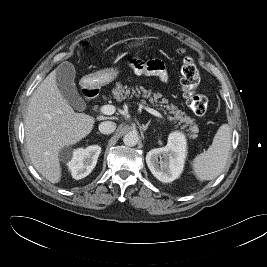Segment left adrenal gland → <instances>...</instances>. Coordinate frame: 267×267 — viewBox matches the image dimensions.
Segmentation results:
<instances>
[{"mask_svg": "<svg viewBox=\"0 0 267 267\" xmlns=\"http://www.w3.org/2000/svg\"><path fill=\"white\" fill-rule=\"evenodd\" d=\"M149 125H150V121H148V123L146 125H142V130L146 131L148 129Z\"/></svg>", "mask_w": 267, "mask_h": 267, "instance_id": "obj_1", "label": "left adrenal gland"}]
</instances>
